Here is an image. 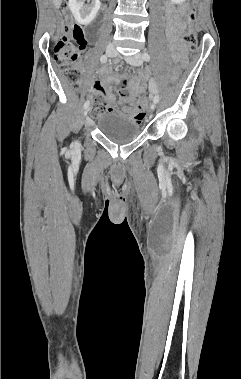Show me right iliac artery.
<instances>
[{"label": "right iliac artery", "instance_id": "right-iliac-artery-1", "mask_svg": "<svg viewBox=\"0 0 241 379\" xmlns=\"http://www.w3.org/2000/svg\"><path fill=\"white\" fill-rule=\"evenodd\" d=\"M100 61L101 63H106L107 62V56L106 55H102L101 58H100ZM89 100H87L85 103H84V108L86 109L88 106H89Z\"/></svg>", "mask_w": 241, "mask_h": 379}]
</instances>
